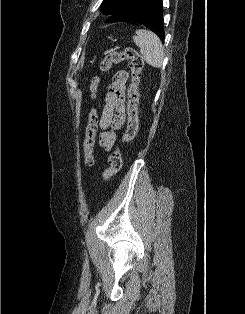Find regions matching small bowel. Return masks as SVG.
I'll list each match as a JSON object with an SVG mask.
<instances>
[{"label":"small bowel","mask_w":245,"mask_h":314,"mask_svg":"<svg viewBox=\"0 0 245 314\" xmlns=\"http://www.w3.org/2000/svg\"><path fill=\"white\" fill-rule=\"evenodd\" d=\"M128 77L126 70H119L105 88V104L100 118L97 120L100 128L99 144L105 150H111L114 147L117 131L125 123V91Z\"/></svg>","instance_id":"obj_1"}]
</instances>
